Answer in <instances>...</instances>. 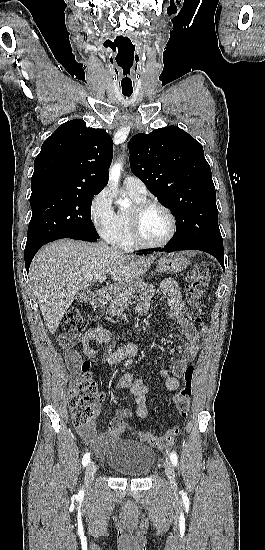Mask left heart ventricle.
<instances>
[{"label":"left heart ventricle","mask_w":265,"mask_h":550,"mask_svg":"<svg viewBox=\"0 0 265 550\" xmlns=\"http://www.w3.org/2000/svg\"><path fill=\"white\" fill-rule=\"evenodd\" d=\"M141 235L152 243L163 241L170 231L169 217L160 209H149L141 218Z\"/></svg>","instance_id":"left-heart-ventricle-1"}]
</instances>
